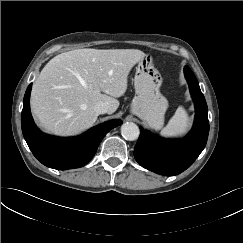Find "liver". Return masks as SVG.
I'll return each instance as SVG.
<instances>
[{"label": "liver", "instance_id": "6515ba94", "mask_svg": "<svg viewBox=\"0 0 243 243\" xmlns=\"http://www.w3.org/2000/svg\"><path fill=\"white\" fill-rule=\"evenodd\" d=\"M145 53L137 49H76L52 58L33 84L31 110L45 132L77 135L97 120L94 105L108 114L119 107L132 67Z\"/></svg>", "mask_w": 243, "mask_h": 243}]
</instances>
